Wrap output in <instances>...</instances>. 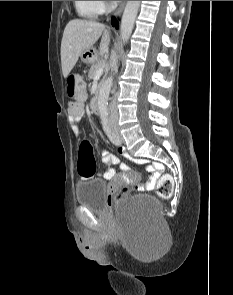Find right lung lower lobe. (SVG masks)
Wrapping results in <instances>:
<instances>
[{
	"label": "right lung lower lobe",
	"instance_id": "obj_1",
	"mask_svg": "<svg viewBox=\"0 0 233 295\" xmlns=\"http://www.w3.org/2000/svg\"><path fill=\"white\" fill-rule=\"evenodd\" d=\"M112 24H113V26H116V28H118L117 21L114 17L112 18Z\"/></svg>",
	"mask_w": 233,
	"mask_h": 295
}]
</instances>
